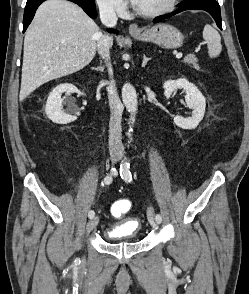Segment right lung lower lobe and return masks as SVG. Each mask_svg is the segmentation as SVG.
I'll use <instances>...</instances> for the list:
<instances>
[{
  "instance_id": "1",
  "label": "right lung lower lobe",
  "mask_w": 249,
  "mask_h": 294,
  "mask_svg": "<svg viewBox=\"0 0 249 294\" xmlns=\"http://www.w3.org/2000/svg\"><path fill=\"white\" fill-rule=\"evenodd\" d=\"M45 0H28L26 3L23 19V32L27 29L31 23L36 9ZM78 4L91 18L96 17V5L94 0H69ZM112 31V30H110Z\"/></svg>"
}]
</instances>
